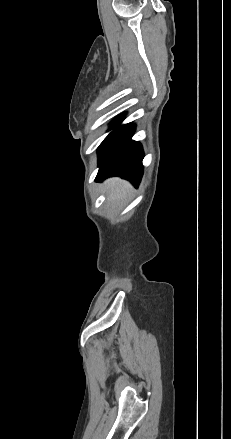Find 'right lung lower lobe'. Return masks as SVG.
I'll list each match as a JSON object with an SVG mask.
<instances>
[{
	"label": "right lung lower lobe",
	"instance_id": "98d812e1",
	"mask_svg": "<svg viewBox=\"0 0 231 439\" xmlns=\"http://www.w3.org/2000/svg\"><path fill=\"white\" fill-rule=\"evenodd\" d=\"M134 124H126L111 133L98 148V181L120 176L137 186L143 175L142 145L131 140Z\"/></svg>",
	"mask_w": 231,
	"mask_h": 439
}]
</instances>
